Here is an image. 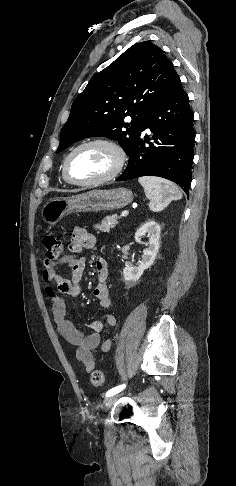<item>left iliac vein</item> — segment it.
I'll use <instances>...</instances> for the list:
<instances>
[{
	"label": "left iliac vein",
	"instance_id": "1",
	"mask_svg": "<svg viewBox=\"0 0 236 486\" xmlns=\"http://www.w3.org/2000/svg\"><path fill=\"white\" fill-rule=\"evenodd\" d=\"M118 396L117 395H112V396H109L107 397L104 401H103V404H102V409L103 410H107L109 409L117 400Z\"/></svg>",
	"mask_w": 236,
	"mask_h": 486
}]
</instances>
